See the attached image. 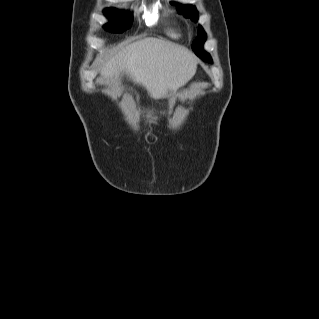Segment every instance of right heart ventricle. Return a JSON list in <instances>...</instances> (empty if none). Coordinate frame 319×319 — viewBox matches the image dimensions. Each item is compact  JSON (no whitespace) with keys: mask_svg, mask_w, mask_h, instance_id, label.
Returning <instances> with one entry per match:
<instances>
[{"mask_svg":"<svg viewBox=\"0 0 319 319\" xmlns=\"http://www.w3.org/2000/svg\"><path fill=\"white\" fill-rule=\"evenodd\" d=\"M167 35L173 39H179L181 37L180 28L175 22H169L167 26Z\"/></svg>","mask_w":319,"mask_h":319,"instance_id":"1","label":"right heart ventricle"}]
</instances>
